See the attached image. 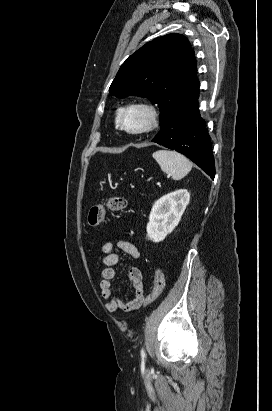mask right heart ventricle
Wrapping results in <instances>:
<instances>
[{
    "label": "right heart ventricle",
    "mask_w": 272,
    "mask_h": 411,
    "mask_svg": "<svg viewBox=\"0 0 272 411\" xmlns=\"http://www.w3.org/2000/svg\"><path fill=\"white\" fill-rule=\"evenodd\" d=\"M119 112H120V111H118V112H117V114H116V120H115V121H116V125H117V126H118V124H117V120H118V115H119Z\"/></svg>",
    "instance_id": "1"
}]
</instances>
